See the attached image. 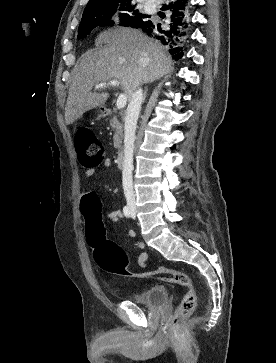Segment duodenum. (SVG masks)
Instances as JSON below:
<instances>
[{"instance_id":"duodenum-1","label":"duodenum","mask_w":276,"mask_h":363,"mask_svg":"<svg viewBox=\"0 0 276 363\" xmlns=\"http://www.w3.org/2000/svg\"><path fill=\"white\" fill-rule=\"evenodd\" d=\"M105 115L108 116L110 115V111L109 110H105ZM116 162L118 164V166H122L124 163V152L120 151L117 153L116 155Z\"/></svg>"}]
</instances>
